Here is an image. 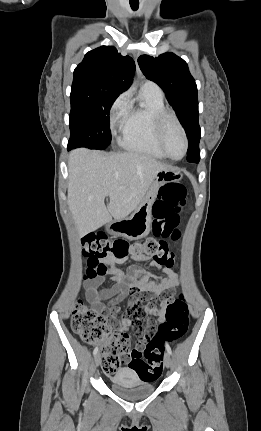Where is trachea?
Segmentation results:
<instances>
[{"mask_svg": "<svg viewBox=\"0 0 261 431\" xmlns=\"http://www.w3.org/2000/svg\"><path fill=\"white\" fill-rule=\"evenodd\" d=\"M130 6H131L133 11H136V10H138L139 3H136V4L130 3Z\"/></svg>", "mask_w": 261, "mask_h": 431, "instance_id": "1", "label": "trachea"}]
</instances>
